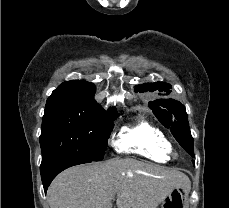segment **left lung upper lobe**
Here are the masks:
<instances>
[{
	"mask_svg": "<svg viewBox=\"0 0 229 208\" xmlns=\"http://www.w3.org/2000/svg\"><path fill=\"white\" fill-rule=\"evenodd\" d=\"M171 85L164 82L146 83L138 85L135 92H159L171 93ZM162 95V94H159ZM150 109L163 126L171 130V133L183 147L193 146V137L189 129L188 115L185 106L174 99H159L148 103Z\"/></svg>",
	"mask_w": 229,
	"mask_h": 208,
	"instance_id": "5c2ea615",
	"label": "left lung upper lobe"
}]
</instances>
